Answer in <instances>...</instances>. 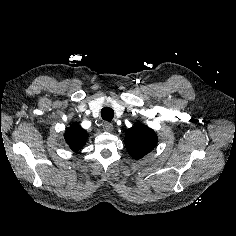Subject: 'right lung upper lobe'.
Here are the masks:
<instances>
[{"label":"right lung upper lobe","mask_w":236,"mask_h":236,"mask_svg":"<svg viewBox=\"0 0 236 236\" xmlns=\"http://www.w3.org/2000/svg\"><path fill=\"white\" fill-rule=\"evenodd\" d=\"M65 141L73 151H78L82 148L87 140V132L80 127L78 123H73L65 131Z\"/></svg>","instance_id":"cb5924a9"}]
</instances>
